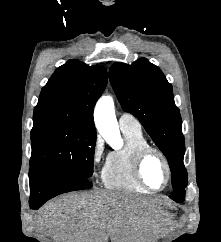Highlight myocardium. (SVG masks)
I'll list each match as a JSON object with an SVG mask.
<instances>
[{"instance_id": "f54148a6", "label": "myocardium", "mask_w": 221, "mask_h": 242, "mask_svg": "<svg viewBox=\"0 0 221 242\" xmlns=\"http://www.w3.org/2000/svg\"><path fill=\"white\" fill-rule=\"evenodd\" d=\"M151 155H157L162 160V162L165 166L166 182H165L164 186L161 188L151 187L147 183V181L145 180L144 175H143V165H144L145 161L147 160V158ZM134 173H135L137 180L139 181V183L142 186H144L149 191H154V192L165 190L168 187V185L170 184L171 179H172V168H171V164H170L167 156L160 149L150 146V145L141 148L135 154Z\"/></svg>"}]
</instances>
